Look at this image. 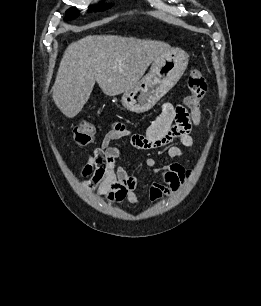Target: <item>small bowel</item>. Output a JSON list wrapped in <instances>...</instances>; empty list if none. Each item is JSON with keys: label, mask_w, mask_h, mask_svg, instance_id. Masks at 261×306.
<instances>
[{"label": "small bowel", "mask_w": 261, "mask_h": 306, "mask_svg": "<svg viewBox=\"0 0 261 306\" xmlns=\"http://www.w3.org/2000/svg\"><path fill=\"white\" fill-rule=\"evenodd\" d=\"M201 121L200 106L187 111L181 105L165 103L159 116L146 129V132L131 135V142L139 150L170 145L166 150L168 157L185 159L184 151L179 146L171 144L177 142L183 147H192L194 141L191 132L193 128L200 126ZM127 136H130V133L121 124H116L109 130L102 140V149L106 156L104 168L98 169L90 160L84 167L83 174L91 175L92 182L97 185V195L105 197L112 203L128 202L138 205L136 189L139 178L116 164L121 152L117 147L111 146L113 141ZM157 163L154 157L145 159V165L157 176L149 187V196L152 201H158L165 195L170 196L176 193L190 175V171L179 163H169L162 167H157Z\"/></svg>", "instance_id": "small-bowel-1"}]
</instances>
